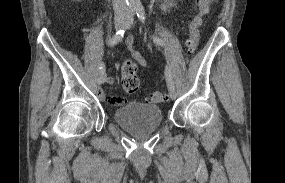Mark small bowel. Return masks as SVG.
<instances>
[{
  "label": "small bowel",
  "instance_id": "obj_1",
  "mask_svg": "<svg viewBox=\"0 0 285 183\" xmlns=\"http://www.w3.org/2000/svg\"><path fill=\"white\" fill-rule=\"evenodd\" d=\"M159 1L161 2V8L166 12L173 11L178 7V3L176 0H159ZM127 47L129 48V50L131 52L132 58L137 62V64L143 68H147L148 63L144 59V57L141 55V53L139 51H137L136 49H134L133 37H131V36L128 37V39H127ZM106 81L108 84H112L114 80L112 77L108 76L106 78ZM100 96L103 97L104 99H106V97L103 93H100ZM112 99H116L117 102H113ZM109 101L113 104H116V105H120L124 102L123 99L117 98V97H111V98H109Z\"/></svg>",
  "mask_w": 285,
  "mask_h": 183
}]
</instances>
